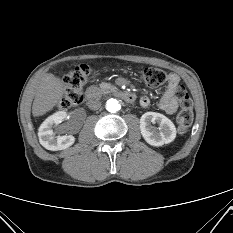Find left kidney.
<instances>
[{"label": "left kidney", "mask_w": 233, "mask_h": 233, "mask_svg": "<svg viewBox=\"0 0 233 233\" xmlns=\"http://www.w3.org/2000/svg\"><path fill=\"white\" fill-rule=\"evenodd\" d=\"M151 123H158V129L152 127ZM140 130L145 141L152 146L168 144L176 137L173 122L157 112H146L141 116Z\"/></svg>", "instance_id": "1"}]
</instances>
